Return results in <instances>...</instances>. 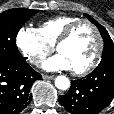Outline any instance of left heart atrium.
Here are the masks:
<instances>
[{
	"mask_svg": "<svg viewBox=\"0 0 114 114\" xmlns=\"http://www.w3.org/2000/svg\"><path fill=\"white\" fill-rule=\"evenodd\" d=\"M43 68L47 71L72 69L69 61L60 53L46 60L43 63Z\"/></svg>",
	"mask_w": 114,
	"mask_h": 114,
	"instance_id": "1",
	"label": "left heart atrium"
}]
</instances>
